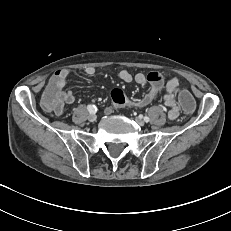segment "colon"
<instances>
[{"instance_id":"obj_1","label":"colon","mask_w":231,"mask_h":231,"mask_svg":"<svg viewBox=\"0 0 231 231\" xmlns=\"http://www.w3.org/2000/svg\"><path fill=\"white\" fill-rule=\"evenodd\" d=\"M61 77L62 71L59 68L50 69L47 72L48 80L46 82L45 94L43 97V105L46 108L52 107L56 102V87ZM161 77H163L162 74ZM177 97L180 109L184 111V114L188 116L193 115L196 110L194 96L186 88H179L177 90ZM111 98L116 106L125 105L128 100V97L121 89H114L111 92Z\"/></svg>"}]
</instances>
